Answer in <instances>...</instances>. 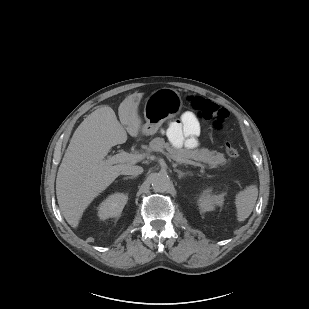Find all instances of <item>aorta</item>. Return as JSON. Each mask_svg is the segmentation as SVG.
Wrapping results in <instances>:
<instances>
[{"label":"aorta","instance_id":"762f6f07","mask_svg":"<svg viewBox=\"0 0 309 309\" xmlns=\"http://www.w3.org/2000/svg\"><path fill=\"white\" fill-rule=\"evenodd\" d=\"M152 188L156 192H165L170 187V179L166 174L157 173L151 179Z\"/></svg>","mask_w":309,"mask_h":309}]
</instances>
